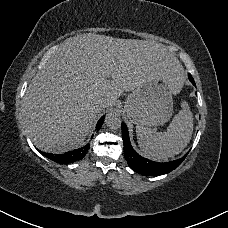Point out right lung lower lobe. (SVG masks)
Segmentation results:
<instances>
[{"label": "right lung lower lobe", "mask_w": 228, "mask_h": 228, "mask_svg": "<svg viewBox=\"0 0 228 228\" xmlns=\"http://www.w3.org/2000/svg\"><path fill=\"white\" fill-rule=\"evenodd\" d=\"M104 118H105V116L100 118V120L98 121V123L96 125V130H99L101 128ZM89 148H90V145L87 144L86 146H84L82 148L67 152L65 154L54 155V154H50V153H44L41 151H40V153L56 163L67 164V163H71V162L82 159L88 152Z\"/></svg>", "instance_id": "obj_1"}]
</instances>
